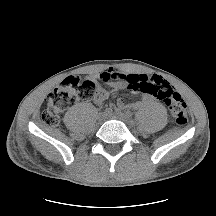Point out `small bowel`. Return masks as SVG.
<instances>
[{"instance_id":"c3829d8e","label":"small bowel","mask_w":216,"mask_h":216,"mask_svg":"<svg viewBox=\"0 0 216 216\" xmlns=\"http://www.w3.org/2000/svg\"><path fill=\"white\" fill-rule=\"evenodd\" d=\"M98 77L102 81L109 83L110 87L104 88L100 86L97 88V91L93 98L96 104H103L109 98L112 92H117L125 89L132 90L134 93L141 92L142 103H150L157 96L147 91H140L137 89H133L132 88L133 83L138 82V83H146V84L148 83L156 84L158 82L164 81L161 77L156 75L122 73L113 70L104 71L100 73ZM140 105L141 103L127 105L123 99H118L115 107L117 109H123L125 107L137 108Z\"/></svg>"}]
</instances>
